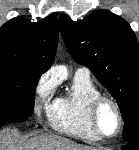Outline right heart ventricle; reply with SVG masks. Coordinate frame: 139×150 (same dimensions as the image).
Segmentation results:
<instances>
[{
	"instance_id": "right-heart-ventricle-1",
	"label": "right heart ventricle",
	"mask_w": 139,
	"mask_h": 150,
	"mask_svg": "<svg viewBox=\"0 0 139 150\" xmlns=\"http://www.w3.org/2000/svg\"><path fill=\"white\" fill-rule=\"evenodd\" d=\"M99 95L100 91L89 76L75 75L70 88L46 107L48 124L54 130L70 136L100 140L88 117L89 105Z\"/></svg>"
}]
</instances>
